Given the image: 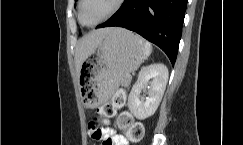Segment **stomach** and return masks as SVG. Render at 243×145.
Returning <instances> with one entry per match:
<instances>
[{
    "mask_svg": "<svg viewBox=\"0 0 243 145\" xmlns=\"http://www.w3.org/2000/svg\"><path fill=\"white\" fill-rule=\"evenodd\" d=\"M151 53V46L140 36L123 28H113L80 71V102L95 108L108 102L125 74L136 70Z\"/></svg>",
    "mask_w": 243,
    "mask_h": 145,
    "instance_id": "stomach-1",
    "label": "stomach"
}]
</instances>
